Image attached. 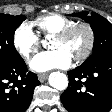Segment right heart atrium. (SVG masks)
Masks as SVG:
<instances>
[{
  "instance_id": "obj_1",
  "label": "right heart atrium",
  "mask_w": 112,
  "mask_h": 112,
  "mask_svg": "<svg viewBox=\"0 0 112 112\" xmlns=\"http://www.w3.org/2000/svg\"><path fill=\"white\" fill-rule=\"evenodd\" d=\"M13 45L24 59H29L40 47V38L33 25L24 22L19 25L13 34Z\"/></svg>"
}]
</instances>
